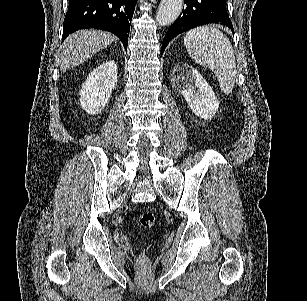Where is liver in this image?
I'll list each match as a JSON object with an SVG mask.
<instances>
[{
    "mask_svg": "<svg viewBox=\"0 0 307 301\" xmlns=\"http://www.w3.org/2000/svg\"><path fill=\"white\" fill-rule=\"evenodd\" d=\"M116 38L117 36L105 30H76L69 34L56 54L60 70L66 72L82 64L96 52L112 44Z\"/></svg>",
    "mask_w": 307,
    "mask_h": 301,
    "instance_id": "obj_1",
    "label": "liver"
}]
</instances>
